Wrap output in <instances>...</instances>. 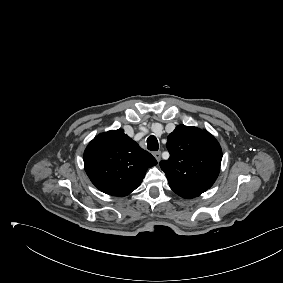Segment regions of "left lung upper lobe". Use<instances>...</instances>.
Segmentation results:
<instances>
[{
	"label": "left lung upper lobe",
	"instance_id": "1",
	"mask_svg": "<svg viewBox=\"0 0 283 283\" xmlns=\"http://www.w3.org/2000/svg\"><path fill=\"white\" fill-rule=\"evenodd\" d=\"M168 160L160 162L170 188L180 197L192 199L208 190L220 172L222 150L206 130L179 125L169 134Z\"/></svg>",
	"mask_w": 283,
	"mask_h": 283
}]
</instances>
